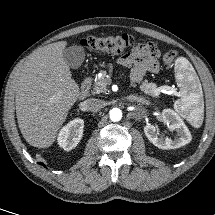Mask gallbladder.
Returning <instances> with one entry per match:
<instances>
[{
  "instance_id": "1",
  "label": "gallbladder",
  "mask_w": 215,
  "mask_h": 215,
  "mask_svg": "<svg viewBox=\"0 0 215 215\" xmlns=\"http://www.w3.org/2000/svg\"><path fill=\"white\" fill-rule=\"evenodd\" d=\"M62 55L68 66L76 69L82 65L85 58V51L82 46L74 45L66 47Z\"/></svg>"
}]
</instances>
